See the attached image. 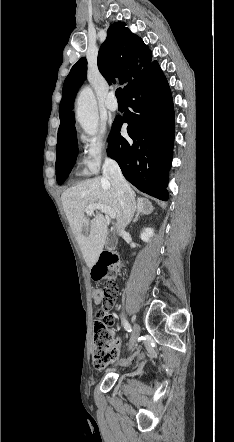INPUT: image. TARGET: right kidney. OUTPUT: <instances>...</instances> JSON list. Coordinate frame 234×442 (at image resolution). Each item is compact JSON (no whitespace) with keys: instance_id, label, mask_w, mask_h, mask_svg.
<instances>
[{"instance_id":"1","label":"right kidney","mask_w":234,"mask_h":442,"mask_svg":"<svg viewBox=\"0 0 234 442\" xmlns=\"http://www.w3.org/2000/svg\"><path fill=\"white\" fill-rule=\"evenodd\" d=\"M154 235V230L152 228H145L141 234H140V238L144 241V242H149L150 238L153 237Z\"/></svg>"}]
</instances>
